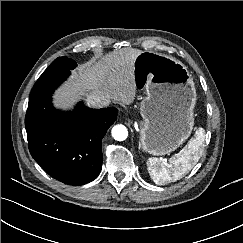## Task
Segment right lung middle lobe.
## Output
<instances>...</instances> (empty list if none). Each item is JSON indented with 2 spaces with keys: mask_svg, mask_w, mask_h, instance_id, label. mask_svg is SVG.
Returning <instances> with one entry per match:
<instances>
[{
  "mask_svg": "<svg viewBox=\"0 0 243 243\" xmlns=\"http://www.w3.org/2000/svg\"><path fill=\"white\" fill-rule=\"evenodd\" d=\"M77 66L76 62L66 56L58 57L46 69V72L70 71Z\"/></svg>",
  "mask_w": 243,
  "mask_h": 243,
  "instance_id": "dd1d6c3e",
  "label": "right lung middle lobe"
}]
</instances>
